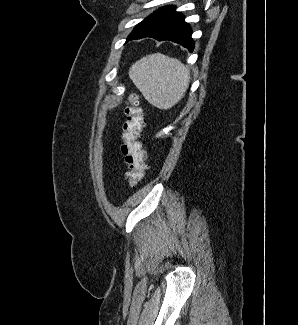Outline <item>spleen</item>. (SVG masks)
<instances>
[{
	"label": "spleen",
	"instance_id": "1",
	"mask_svg": "<svg viewBox=\"0 0 298 325\" xmlns=\"http://www.w3.org/2000/svg\"><path fill=\"white\" fill-rule=\"evenodd\" d=\"M128 74L144 98L157 108H171L183 98L190 72L178 58L154 52L131 64Z\"/></svg>",
	"mask_w": 298,
	"mask_h": 325
}]
</instances>
